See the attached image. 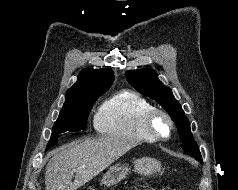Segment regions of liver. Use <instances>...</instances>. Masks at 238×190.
Masks as SVG:
<instances>
[{
  "mask_svg": "<svg viewBox=\"0 0 238 190\" xmlns=\"http://www.w3.org/2000/svg\"><path fill=\"white\" fill-rule=\"evenodd\" d=\"M138 144V141L121 137L85 139L67 144L58 149L47 164L46 190H76Z\"/></svg>",
  "mask_w": 238,
  "mask_h": 190,
  "instance_id": "6515ba94",
  "label": "liver"
}]
</instances>
